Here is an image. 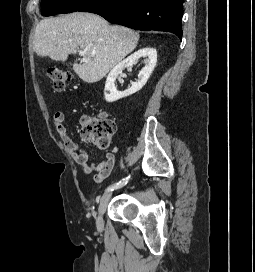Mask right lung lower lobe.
Here are the masks:
<instances>
[{
  "instance_id": "1",
  "label": "right lung lower lobe",
  "mask_w": 255,
  "mask_h": 272,
  "mask_svg": "<svg viewBox=\"0 0 255 272\" xmlns=\"http://www.w3.org/2000/svg\"><path fill=\"white\" fill-rule=\"evenodd\" d=\"M79 11L132 29L166 31L182 38L183 0H92Z\"/></svg>"
}]
</instances>
